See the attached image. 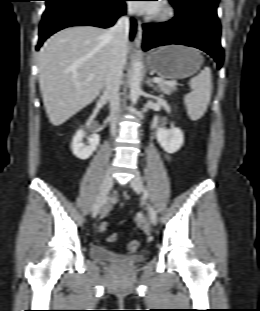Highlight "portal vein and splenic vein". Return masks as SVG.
<instances>
[{"label":"portal vein and splenic vein","mask_w":260,"mask_h":311,"mask_svg":"<svg viewBox=\"0 0 260 311\" xmlns=\"http://www.w3.org/2000/svg\"><path fill=\"white\" fill-rule=\"evenodd\" d=\"M90 77H93V75H90ZM152 81L155 82V83H160V82H162V80H161L160 78H157V77H154V78L152 79ZM166 83L171 84V85H175V82H173V81H169V82H166Z\"/></svg>","instance_id":"obj_1"}]
</instances>
